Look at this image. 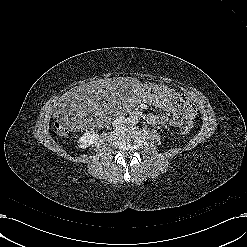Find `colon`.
Segmentation results:
<instances>
[{"mask_svg":"<svg viewBox=\"0 0 247 247\" xmlns=\"http://www.w3.org/2000/svg\"><path fill=\"white\" fill-rule=\"evenodd\" d=\"M147 91H148L149 96L153 99H159L164 94L163 87L156 82L149 84ZM69 116H70L69 114L65 115L62 120L56 121L54 124L56 133L61 137L66 136L69 132L68 123H66L67 122L66 119H68ZM191 129H192V125L187 124L181 129V133L187 134L191 131Z\"/></svg>","mask_w":247,"mask_h":247,"instance_id":"colon-1","label":"colon"}]
</instances>
